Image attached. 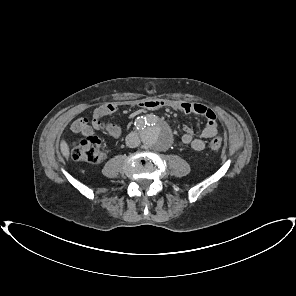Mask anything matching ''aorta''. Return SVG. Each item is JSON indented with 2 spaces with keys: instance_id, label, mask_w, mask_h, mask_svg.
<instances>
[{
  "instance_id": "obj_1",
  "label": "aorta",
  "mask_w": 296,
  "mask_h": 296,
  "mask_svg": "<svg viewBox=\"0 0 296 296\" xmlns=\"http://www.w3.org/2000/svg\"><path fill=\"white\" fill-rule=\"evenodd\" d=\"M142 143L156 151H166L173 142L169 127L155 116H148L137 122Z\"/></svg>"
}]
</instances>
